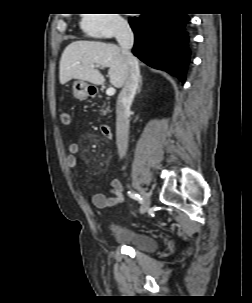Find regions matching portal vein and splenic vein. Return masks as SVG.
I'll use <instances>...</instances> for the list:
<instances>
[{
    "instance_id": "obj_1",
    "label": "portal vein and splenic vein",
    "mask_w": 252,
    "mask_h": 303,
    "mask_svg": "<svg viewBox=\"0 0 252 303\" xmlns=\"http://www.w3.org/2000/svg\"><path fill=\"white\" fill-rule=\"evenodd\" d=\"M96 67H98V65H96ZM115 92H116L115 88L110 87V88L107 89L106 94L108 96H113L115 94Z\"/></svg>"
}]
</instances>
